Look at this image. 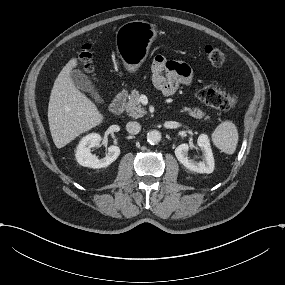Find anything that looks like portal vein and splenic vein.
<instances>
[{"mask_svg":"<svg viewBox=\"0 0 285 285\" xmlns=\"http://www.w3.org/2000/svg\"><path fill=\"white\" fill-rule=\"evenodd\" d=\"M146 100H147L146 96L145 95H141L140 101L145 102Z\"/></svg>","mask_w":285,"mask_h":285,"instance_id":"1","label":"portal vein and splenic vein"}]
</instances>
